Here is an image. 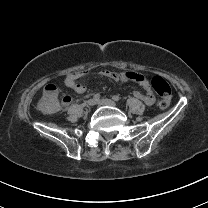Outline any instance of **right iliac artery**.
<instances>
[{"mask_svg": "<svg viewBox=\"0 0 208 208\" xmlns=\"http://www.w3.org/2000/svg\"><path fill=\"white\" fill-rule=\"evenodd\" d=\"M93 98L97 101V100H99L100 99V94H95L94 96H93Z\"/></svg>", "mask_w": 208, "mask_h": 208, "instance_id": "1", "label": "right iliac artery"}]
</instances>
